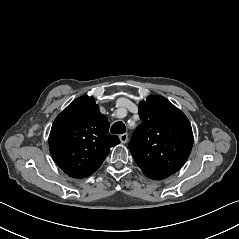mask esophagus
<instances>
[{
	"label": "esophagus",
	"mask_w": 239,
	"mask_h": 239,
	"mask_svg": "<svg viewBox=\"0 0 239 239\" xmlns=\"http://www.w3.org/2000/svg\"><path fill=\"white\" fill-rule=\"evenodd\" d=\"M119 139L122 143H126L128 141V134L123 133V134L119 135Z\"/></svg>",
	"instance_id": "esophagus-1"
}]
</instances>
